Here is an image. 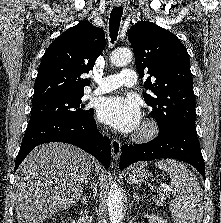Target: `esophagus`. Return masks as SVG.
Returning a JSON list of instances; mask_svg holds the SVG:
<instances>
[{"label":"esophagus","instance_id":"1","mask_svg":"<svg viewBox=\"0 0 221 223\" xmlns=\"http://www.w3.org/2000/svg\"><path fill=\"white\" fill-rule=\"evenodd\" d=\"M114 5L115 6H123V1L122 0H114ZM121 148H122V144L118 139H112L111 141V153H112V157L115 161H117L120 156H121Z\"/></svg>","mask_w":221,"mask_h":223}]
</instances>
